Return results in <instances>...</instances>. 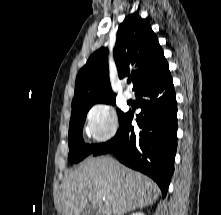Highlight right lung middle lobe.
<instances>
[{
  "label": "right lung middle lobe",
  "mask_w": 221,
  "mask_h": 215,
  "mask_svg": "<svg viewBox=\"0 0 221 215\" xmlns=\"http://www.w3.org/2000/svg\"><path fill=\"white\" fill-rule=\"evenodd\" d=\"M95 103L115 104V99H110L102 102L82 103L72 105V113L69 124V161L78 163L86 156L91 154L100 144L86 145L82 139V128L86 119L88 110ZM125 113L118 110L119 120L122 119Z\"/></svg>",
  "instance_id": "obj_1"
}]
</instances>
